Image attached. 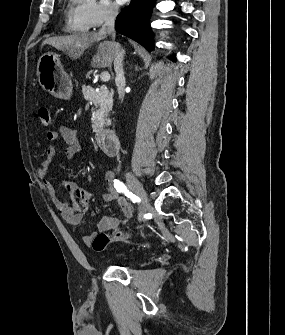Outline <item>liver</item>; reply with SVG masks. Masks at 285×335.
<instances>
[{
    "label": "liver",
    "instance_id": "1",
    "mask_svg": "<svg viewBox=\"0 0 285 335\" xmlns=\"http://www.w3.org/2000/svg\"><path fill=\"white\" fill-rule=\"evenodd\" d=\"M106 36L102 34H95V32H90V34H74V36H58V38H48L45 40V44L53 46L56 50H61V52H66L69 58L76 60L80 58L83 52L92 46L94 42H100L104 40ZM116 56V50L112 46V42H101L99 44L98 52L92 60L91 66H97V68H109L111 72L112 62Z\"/></svg>",
    "mask_w": 285,
    "mask_h": 335
}]
</instances>
